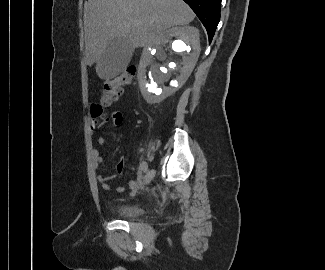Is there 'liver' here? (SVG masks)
Returning <instances> with one entry per match:
<instances>
[{"label":"liver","mask_w":325,"mask_h":270,"mask_svg":"<svg viewBox=\"0 0 325 270\" xmlns=\"http://www.w3.org/2000/svg\"><path fill=\"white\" fill-rule=\"evenodd\" d=\"M195 14L183 0H88L84 9L85 61L97 66L108 44L127 38L133 49L154 46L173 26L188 25Z\"/></svg>","instance_id":"liver-1"}]
</instances>
